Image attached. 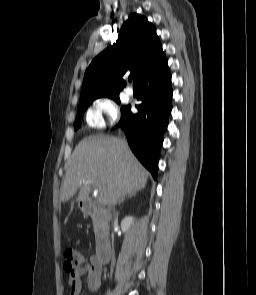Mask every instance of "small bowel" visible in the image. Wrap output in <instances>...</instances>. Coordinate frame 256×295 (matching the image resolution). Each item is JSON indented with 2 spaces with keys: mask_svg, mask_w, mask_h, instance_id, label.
Returning a JSON list of instances; mask_svg holds the SVG:
<instances>
[{
  "mask_svg": "<svg viewBox=\"0 0 256 295\" xmlns=\"http://www.w3.org/2000/svg\"><path fill=\"white\" fill-rule=\"evenodd\" d=\"M103 264L96 260L95 255H92L83 266L68 273V287L71 295L82 294L81 277L87 274V287L90 291H97L101 286V275Z\"/></svg>",
  "mask_w": 256,
  "mask_h": 295,
  "instance_id": "c3829d8e",
  "label": "small bowel"
}]
</instances>
